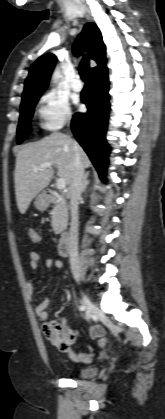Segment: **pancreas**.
I'll return each instance as SVG.
<instances>
[{"label":"pancreas","mask_w":165,"mask_h":419,"mask_svg":"<svg viewBox=\"0 0 165 419\" xmlns=\"http://www.w3.org/2000/svg\"><path fill=\"white\" fill-rule=\"evenodd\" d=\"M55 206L51 210V226L55 234H60L68 218V206L66 200L60 196L54 199Z\"/></svg>","instance_id":"pancreas-1"}]
</instances>
